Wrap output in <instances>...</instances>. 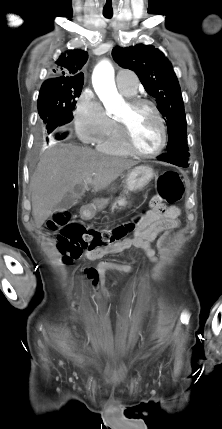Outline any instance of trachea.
<instances>
[{
  "label": "trachea",
  "mask_w": 222,
  "mask_h": 429,
  "mask_svg": "<svg viewBox=\"0 0 222 429\" xmlns=\"http://www.w3.org/2000/svg\"><path fill=\"white\" fill-rule=\"evenodd\" d=\"M103 15H104L105 18L110 19V18H112L113 13L112 12L111 13H103Z\"/></svg>",
  "instance_id": "obj_1"
}]
</instances>
